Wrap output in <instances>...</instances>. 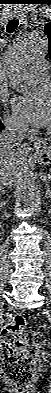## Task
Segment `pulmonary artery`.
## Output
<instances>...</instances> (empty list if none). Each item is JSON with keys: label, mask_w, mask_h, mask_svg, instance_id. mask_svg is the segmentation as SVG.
<instances>
[{"label": "pulmonary artery", "mask_w": 51, "mask_h": 393, "mask_svg": "<svg viewBox=\"0 0 51 393\" xmlns=\"http://www.w3.org/2000/svg\"><path fill=\"white\" fill-rule=\"evenodd\" d=\"M48 65L44 62H35L30 71L20 76V81L26 84H35L45 78Z\"/></svg>", "instance_id": "1"}]
</instances>
